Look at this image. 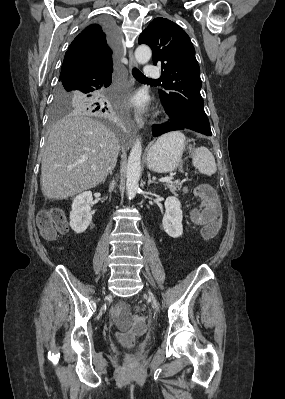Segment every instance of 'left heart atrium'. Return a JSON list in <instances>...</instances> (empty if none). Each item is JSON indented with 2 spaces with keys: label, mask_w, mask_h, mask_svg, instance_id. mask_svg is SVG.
I'll list each match as a JSON object with an SVG mask.
<instances>
[{
  "label": "left heart atrium",
  "mask_w": 285,
  "mask_h": 399,
  "mask_svg": "<svg viewBox=\"0 0 285 399\" xmlns=\"http://www.w3.org/2000/svg\"><path fill=\"white\" fill-rule=\"evenodd\" d=\"M131 104L135 108H137L139 110H143V109H145L147 102H146L145 97L142 94L138 93L133 96V98L131 100Z\"/></svg>",
  "instance_id": "39dd6f15"
}]
</instances>
